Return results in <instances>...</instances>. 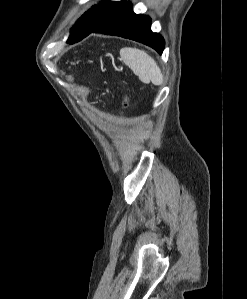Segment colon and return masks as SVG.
<instances>
[{
	"label": "colon",
	"instance_id": "obj_1",
	"mask_svg": "<svg viewBox=\"0 0 247 299\" xmlns=\"http://www.w3.org/2000/svg\"><path fill=\"white\" fill-rule=\"evenodd\" d=\"M127 104H128V98H127V96H124L123 101H122V105H123V107H126Z\"/></svg>",
	"mask_w": 247,
	"mask_h": 299
}]
</instances>
